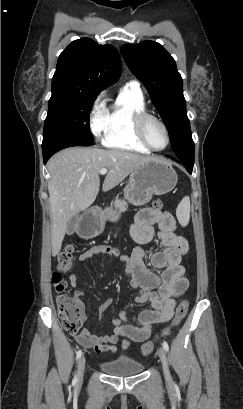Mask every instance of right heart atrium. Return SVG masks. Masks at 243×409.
Instances as JSON below:
<instances>
[{
    "instance_id": "right-heart-atrium-1",
    "label": "right heart atrium",
    "mask_w": 243,
    "mask_h": 409,
    "mask_svg": "<svg viewBox=\"0 0 243 409\" xmlns=\"http://www.w3.org/2000/svg\"><path fill=\"white\" fill-rule=\"evenodd\" d=\"M89 127L93 135L98 138H104L108 132L110 119L109 112L104 104V94H99L93 101L89 116Z\"/></svg>"
}]
</instances>
